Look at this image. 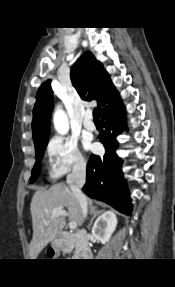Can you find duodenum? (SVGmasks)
Listing matches in <instances>:
<instances>
[{
  "label": "duodenum",
  "mask_w": 175,
  "mask_h": 287,
  "mask_svg": "<svg viewBox=\"0 0 175 287\" xmlns=\"http://www.w3.org/2000/svg\"><path fill=\"white\" fill-rule=\"evenodd\" d=\"M59 244L65 251L75 247L82 259H90L92 256V250L89 246V234L84 230L63 231L59 237Z\"/></svg>",
  "instance_id": "1"
}]
</instances>
